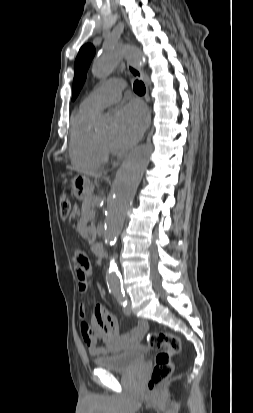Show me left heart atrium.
Listing matches in <instances>:
<instances>
[{
	"label": "left heart atrium",
	"instance_id": "39dd6f15",
	"mask_svg": "<svg viewBox=\"0 0 253 413\" xmlns=\"http://www.w3.org/2000/svg\"><path fill=\"white\" fill-rule=\"evenodd\" d=\"M146 127V113L137 103L121 107L116 114L114 139L121 147H127L136 142Z\"/></svg>",
	"mask_w": 253,
	"mask_h": 413
}]
</instances>
